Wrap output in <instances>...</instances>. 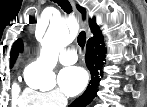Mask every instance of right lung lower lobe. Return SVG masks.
<instances>
[{"label": "right lung lower lobe", "instance_id": "98d812e1", "mask_svg": "<svg viewBox=\"0 0 147 107\" xmlns=\"http://www.w3.org/2000/svg\"><path fill=\"white\" fill-rule=\"evenodd\" d=\"M105 51L103 36L87 42L85 61L87 68L91 72V81L86 91L78 99L73 101L69 107H84L94 99L98 91L99 81L102 77Z\"/></svg>", "mask_w": 147, "mask_h": 107}]
</instances>
